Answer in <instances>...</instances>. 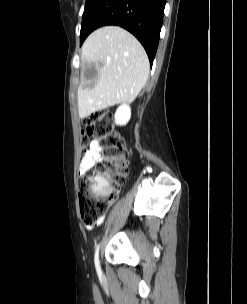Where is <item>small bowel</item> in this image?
Wrapping results in <instances>:
<instances>
[{"label": "small bowel", "mask_w": 247, "mask_h": 304, "mask_svg": "<svg viewBox=\"0 0 247 304\" xmlns=\"http://www.w3.org/2000/svg\"><path fill=\"white\" fill-rule=\"evenodd\" d=\"M101 159L102 155L99 143L97 141L91 142L89 149L83 155L79 168V174L81 176L85 175L90 169H92L96 164H98ZM101 222L102 218H100L96 222V225L101 224ZM88 229H92V226H88Z\"/></svg>", "instance_id": "c3829d8e"}]
</instances>
